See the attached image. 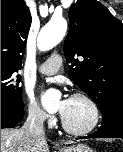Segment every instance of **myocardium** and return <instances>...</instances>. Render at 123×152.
Masks as SVG:
<instances>
[{
  "mask_svg": "<svg viewBox=\"0 0 123 152\" xmlns=\"http://www.w3.org/2000/svg\"><path fill=\"white\" fill-rule=\"evenodd\" d=\"M71 98L84 100L90 106V108L92 110V114H93L92 121L87 127L83 128V129H74V128L70 127L69 125H67L66 122L62 118L61 119L62 128L67 133L74 135V136L88 135L91 132H93L100 123V120H101L100 108H99L97 102L86 93L76 92V93L71 95Z\"/></svg>",
  "mask_w": 123,
  "mask_h": 152,
  "instance_id": "f54148a6",
  "label": "myocardium"
}]
</instances>
